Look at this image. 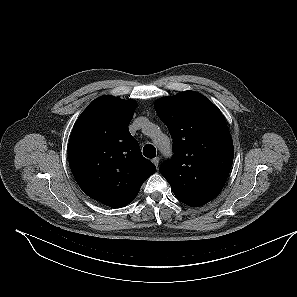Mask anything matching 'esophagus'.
I'll use <instances>...</instances> for the list:
<instances>
[{
  "mask_svg": "<svg viewBox=\"0 0 297 297\" xmlns=\"http://www.w3.org/2000/svg\"><path fill=\"white\" fill-rule=\"evenodd\" d=\"M159 161H160L159 157H155L154 159H152V162L155 164L156 167H158Z\"/></svg>",
  "mask_w": 297,
  "mask_h": 297,
  "instance_id": "obj_1",
  "label": "esophagus"
}]
</instances>
